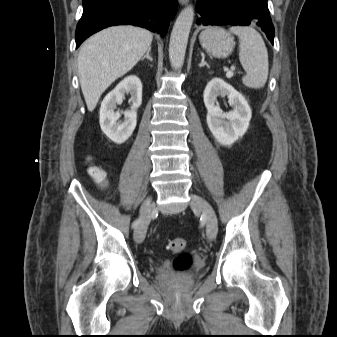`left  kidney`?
<instances>
[{
  "mask_svg": "<svg viewBox=\"0 0 337 337\" xmlns=\"http://www.w3.org/2000/svg\"><path fill=\"white\" fill-rule=\"evenodd\" d=\"M219 95L228 97V102L233 106L232 111L223 113L221 108L215 105ZM203 98L207 108L208 127L221 145H231L245 134L252 112L241 93L216 77L207 84Z\"/></svg>",
  "mask_w": 337,
  "mask_h": 337,
  "instance_id": "1",
  "label": "left kidney"
}]
</instances>
